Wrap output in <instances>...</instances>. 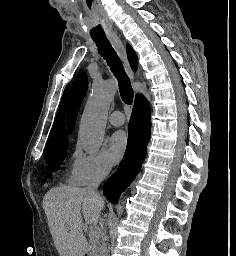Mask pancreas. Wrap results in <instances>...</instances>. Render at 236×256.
I'll list each match as a JSON object with an SVG mask.
<instances>
[{
  "label": "pancreas",
  "instance_id": "pancreas-1",
  "mask_svg": "<svg viewBox=\"0 0 236 256\" xmlns=\"http://www.w3.org/2000/svg\"><path fill=\"white\" fill-rule=\"evenodd\" d=\"M101 233H102V227L101 226H94L93 227V232H91V234H89V236H90L89 246H90V248H92L90 250L91 254H100Z\"/></svg>",
  "mask_w": 236,
  "mask_h": 256
}]
</instances>
